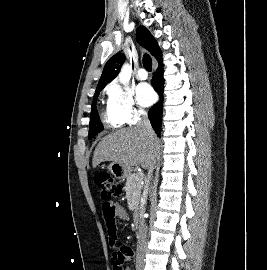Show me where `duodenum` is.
<instances>
[{
	"instance_id": "410a0bca",
	"label": "duodenum",
	"mask_w": 267,
	"mask_h": 270,
	"mask_svg": "<svg viewBox=\"0 0 267 270\" xmlns=\"http://www.w3.org/2000/svg\"><path fill=\"white\" fill-rule=\"evenodd\" d=\"M134 222H135V225L137 227H139V225L141 223V213L140 212H137V214L135 216V219H134Z\"/></svg>"
}]
</instances>
